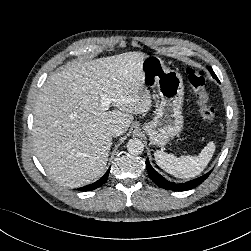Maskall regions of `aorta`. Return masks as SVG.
<instances>
[{"mask_svg": "<svg viewBox=\"0 0 251 251\" xmlns=\"http://www.w3.org/2000/svg\"><path fill=\"white\" fill-rule=\"evenodd\" d=\"M127 150L131 154H141L144 150V144L138 138L130 139L127 143Z\"/></svg>", "mask_w": 251, "mask_h": 251, "instance_id": "762f6f07", "label": "aorta"}]
</instances>
